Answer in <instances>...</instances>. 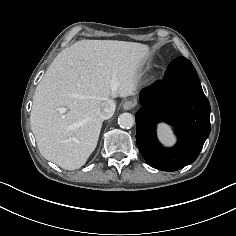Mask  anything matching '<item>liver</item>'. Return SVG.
Returning a JSON list of instances; mask_svg holds the SVG:
<instances>
[{"instance_id":"liver-1","label":"liver","mask_w":236,"mask_h":236,"mask_svg":"<svg viewBox=\"0 0 236 236\" xmlns=\"http://www.w3.org/2000/svg\"><path fill=\"white\" fill-rule=\"evenodd\" d=\"M146 45L117 40H81L63 49L38 84L31 129L45 159L63 169L82 167L95 150L103 104L134 94Z\"/></svg>"}]
</instances>
